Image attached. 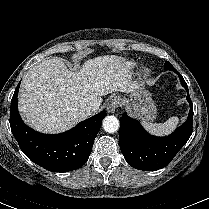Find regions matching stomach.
<instances>
[{
    "label": "stomach",
    "instance_id": "obj_1",
    "mask_svg": "<svg viewBox=\"0 0 209 209\" xmlns=\"http://www.w3.org/2000/svg\"><path fill=\"white\" fill-rule=\"evenodd\" d=\"M130 113L143 122H150L156 118L157 109L148 90L138 86L124 98Z\"/></svg>",
    "mask_w": 209,
    "mask_h": 209
}]
</instances>
